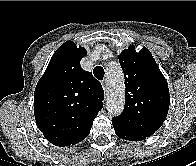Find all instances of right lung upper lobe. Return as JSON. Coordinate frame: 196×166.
Instances as JSON below:
<instances>
[{"instance_id": "1", "label": "right lung upper lobe", "mask_w": 196, "mask_h": 166, "mask_svg": "<svg viewBox=\"0 0 196 166\" xmlns=\"http://www.w3.org/2000/svg\"><path fill=\"white\" fill-rule=\"evenodd\" d=\"M86 54L72 41L52 56L34 92L38 128L56 146H70L86 138L103 107L104 90L91 72L80 67Z\"/></svg>"}]
</instances>
